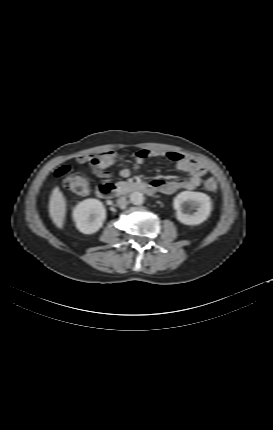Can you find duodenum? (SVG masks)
Instances as JSON below:
<instances>
[{
	"label": "duodenum",
	"instance_id": "410a0bca",
	"mask_svg": "<svg viewBox=\"0 0 273 430\" xmlns=\"http://www.w3.org/2000/svg\"><path fill=\"white\" fill-rule=\"evenodd\" d=\"M131 189L133 191H139L146 194H154L157 189L153 183L146 184V183H136L131 186ZM117 192V189L114 184L112 183H103L97 187V195L100 198L103 199H110L112 198Z\"/></svg>",
	"mask_w": 273,
	"mask_h": 430
}]
</instances>
